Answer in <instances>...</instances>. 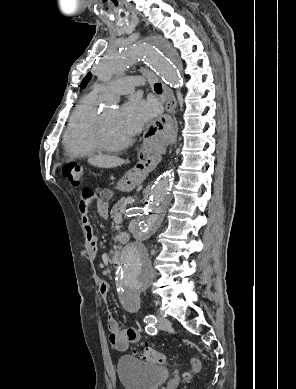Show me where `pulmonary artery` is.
<instances>
[{"label": "pulmonary artery", "mask_w": 296, "mask_h": 389, "mask_svg": "<svg viewBox=\"0 0 296 389\" xmlns=\"http://www.w3.org/2000/svg\"><path fill=\"white\" fill-rule=\"evenodd\" d=\"M141 84L142 79L140 77H123L106 84H95L92 93L96 95L103 93L129 94L135 90L136 86Z\"/></svg>", "instance_id": "1"}]
</instances>
